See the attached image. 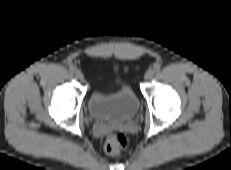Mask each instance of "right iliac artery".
I'll use <instances>...</instances> for the list:
<instances>
[{"mask_svg":"<svg viewBox=\"0 0 231 170\" xmlns=\"http://www.w3.org/2000/svg\"><path fill=\"white\" fill-rule=\"evenodd\" d=\"M75 70H76L75 67H73V66H70V67H69V71H70V72L73 73V72H75Z\"/></svg>","mask_w":231,"mask_h":170,"instance_id":"right-iliac-artery-1","label":"right iliac artery"}]
</instances>
